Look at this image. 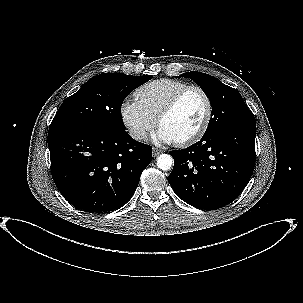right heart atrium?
Listing matches in <instances>:
<instances>
[{"label": "right heart atrium", "mask_w": 303, "mask_h": 303, "mask_svg": "<svg viewBox=\"0 0 303 303\" xmlns=\"http://www.w3.org/2000/svg\"><path fill=\"white\" fill-rule=\"evenodd\" d=\"M120 116L131 137L137 141L144 140L156 125V119L134 98L122 102Z\"/></svg>", "instance_id": "right-heart-atrium-1"}]
</instances>
